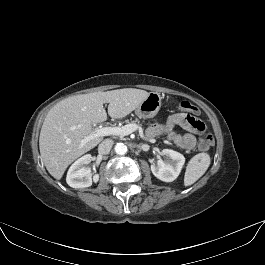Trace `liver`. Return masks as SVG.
Wrapping results in <instances>:
<instances>
[{
	"label": "liver",
	"mask_w": 265,
	"mask_h": 265,
	"mask_svg": "<svg viewBox=\"0 0 265 265\" xmlns=\"http://www.w3.org/2000/svg\"><path fill=\"white\" fill-rule=\"evenodd\" d=\"M149 93L134 88L94 92L66 98L48 112L39 137V149L48 172L60 180L67 167L78 157L96 147L103 137H94L84 145L83 139L94 134L91 124L111 118H123L135 110ZM80 125V128L77 126Z\"/></svg>",
	"instance_id": "obj_1"
}]
</instances>
